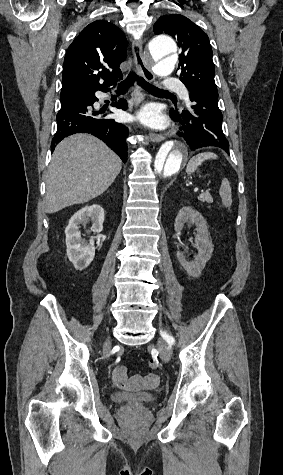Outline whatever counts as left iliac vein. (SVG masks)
<instances>
[{
    "mask_svg": "<svg viewBox=\"0 0 283 475\" xmlns=\"http://www.w3.org/2000/svg\"><path fill=\"white\" fill-rule=\"evenodd\" d=\"M160 332H161L162 336H163L170 344L173 343L172 337H171L166 331H164V330L162 329ZM157 348H158V350L160 351L162 360H163V361H169L170 358H171V355H170L169 350L167 349V347H165L164 345H162L161 342H158Z\"/></svg>",
    "mask_w": 283,
    "mask_h": 475,
    "instance_id": "obj_1",
    "label": "left iliac vein"
}]
</instances>
